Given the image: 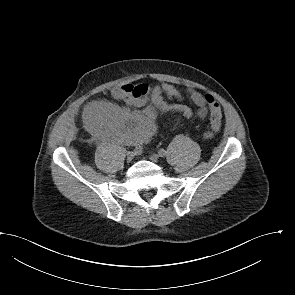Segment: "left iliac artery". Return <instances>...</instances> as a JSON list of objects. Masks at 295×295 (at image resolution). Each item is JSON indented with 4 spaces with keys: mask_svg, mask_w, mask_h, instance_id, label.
Instances as JSON below:
<instances>
[{
    "mask_svg": "<svg viewBox=\"0 0 295 295\" xmlns=\"http://www.w3.org/2000/svg\"><path fill=\"white\" fill-rule=\"evenodd\" d=\"M158 154L160 157H164L166 155V150H164L163 148L158 150Z\"/></svg>",
    "mask_w": 295,
    "mask_h": 295,
    "instance_id": "left-iliac-artery-1",
    "label": "left iliac artery"
}]
</instances>
